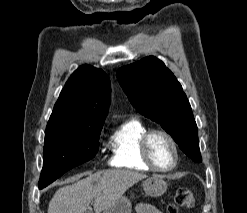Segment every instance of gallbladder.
Wrapping results in <instances>:
<instances>
[{"instance_id":"obj_1","label":"gallbladder","mask_w":247,"mask_h":213,"mask_svg":"<svg viewBox=\"0 0 247 213\" xmlns=\"http://www.w3.org/2000/svg\"><path fill=\"white\" fill-rule=\"evenodd\" d=\"M85 213H92L90 210L85 211Z\"/></svg>"}]
</instances>
